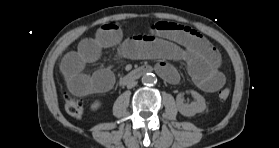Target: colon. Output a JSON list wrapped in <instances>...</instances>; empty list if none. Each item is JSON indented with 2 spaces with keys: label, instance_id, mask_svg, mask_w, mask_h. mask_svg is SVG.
<instances>
[{
  "label": "colon",
  "instance_id": "obj_1",
  "mask_svg": "<svg viewBox=\"0 0 279 148\" xmlns=\"http://www.w3.org/2000/svg\"><path fill=\"white\" fill-rule=\"evenodd\" d=\"M229 95L230 90L228 88H224L218 93L217 98L220 101H224L229 97ZM65 110L70 116L79 118L84 113V105L80 99L67 96L65 98Z\"/></svg>",
  "mask_w": 279,
  "mask_h": 148
}]
</instances>
